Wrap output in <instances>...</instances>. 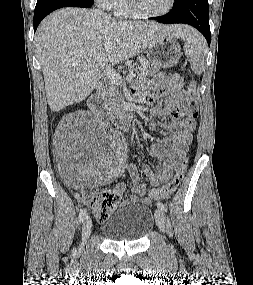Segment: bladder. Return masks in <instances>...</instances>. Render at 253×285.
<instances>
[{"label":"bladder","instance_id":"obj_1","mask_svg":"<svg viewBox=\"0 0 253 285\" xmlns=\"http://www.w3.org/2000/svg\"><path fill=\"white\" fill-rule=\"evenodd\" d=\"M153 225V212L148 206L123 202L104 221L101 232L112 241L135 242L143 239Z\"/></svg>","mask_w":253,"mask_h":285}]
</instances>
